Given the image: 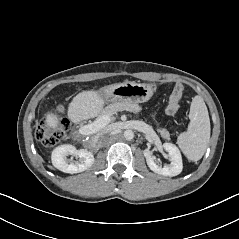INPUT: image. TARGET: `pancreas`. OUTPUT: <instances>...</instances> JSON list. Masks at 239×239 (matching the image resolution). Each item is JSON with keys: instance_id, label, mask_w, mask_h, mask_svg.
I'll return each mask as SVG.
<instances>
[{"instance_id": "pancreas-1", "label": "pancreas", "mask_w": 239, "mask_h": 239, "mask_svg": "<svg viewBox=\"0 0 239 239\" xmlns=\"http://www.w3.org/2000/svg\"><path fill=\"white\" fill-rule=\"evenodd\" d=\"M124 110L137 113L141 111V107L137 103L114 102L113 104H110L105 109H103L102 114L113 115L118 111ZM157 132L161 135L162 138L170 140V133L165 128H158Z\"/></svg>"}]
</instances>
